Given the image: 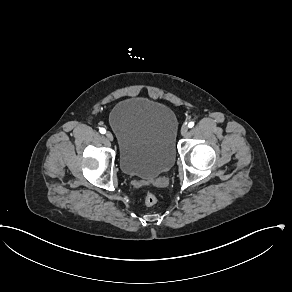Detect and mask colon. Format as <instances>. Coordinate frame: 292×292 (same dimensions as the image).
Returning <instances> with one entry per match:
<instances>
[{
  "label": "colon",
  "instance_id": "5ec220e1",
  "mask_svg": "<svg viewBox=\"0 0 292 292\" xmlns=\"http://www.w3.org/2000/svg\"><path fill=\"white\" fill-rule=\"evenodd\" d=\"M157 203V196L151 191H148L144 195V204L146 206H153Z\"/></svg>",
  "mask_w": 292,
  "mask_h": 292
}]
</instances>
